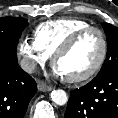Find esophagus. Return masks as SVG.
Returning a JSON list of instances; mask_svg holds the SVG:
<instances>
[{"mask_svg": "<svg viewBox=\"0 0 118 118\" xmlns=\"http://www.w3.org/2000/svg\"><path fill=\"white\" fill-rule=\"evenodd\" d=\"M37 87H38V90L39 91H42V92H47V91H51L53 90V88L49 85H47L45 82L43 81H38L37 83Z\"/></svg>", "mask_w": 118, "mask_h": 118, "instance_id": "1", "label": "esophagus"}]
</instances>
